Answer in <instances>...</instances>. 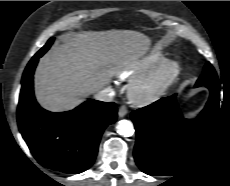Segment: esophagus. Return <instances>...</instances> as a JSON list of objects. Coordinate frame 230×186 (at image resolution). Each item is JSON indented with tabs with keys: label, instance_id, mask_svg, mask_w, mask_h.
<instances>
[{
	"label": "esophagus",
	"instance_id": "34e87169",
	"mask_svg": "<svg viewBox=\"0 0 230 186\" xmlns=\"http://www.w3.org/2000/svg\"><path fill=\"white\" fill-rule=\"evenodd\" d=\"M128 113V109L126 106L122 105L119 107V110H118V116L119 117H124L126 114Z\"/></svg>",
	"mask_w": 230,
	"mask_h": 186
}]
</instances>
